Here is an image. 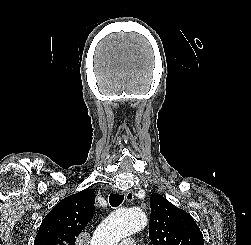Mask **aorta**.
Here are the masks:
<instances>
[{
    "label": "aorta",
    "mask_w": 251,
    "mask_h": 245,
    "mask_svg": "<svg viewBox=\"0 0 251 245\" xmlns=\"http://www.w3.org/2000/svg\"><path fill=\"white\" fill-rule=\"evenodd\" d=\"M147 225L145 213L136 208L119 209L110 214L96 229L91 245H117L118 242Z\"/></svg>",
    "instance_id": "obj_1"
}]
</instances>
